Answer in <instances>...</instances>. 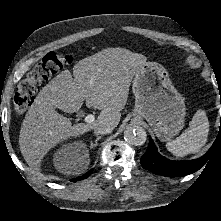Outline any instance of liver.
Wrapping results in <instances>:
<instances>
[{
    "label": "liver",
    "mask_w": 221,
    "mask_h": 221,
    "mask_svg": "<svg viewBox=\"0 0 221 221\" xmlns=\"http://www.w3.org/2000/svg\"><path fill=\"white\" fill-rule=\"evenodd\" d=\"M147 58L124 48H107L77 62L73 77L64 70L53 78L35 98L23 120L19 147L33 174L52 179L40 171L47 152L70 137L82 135L97 125L116 128L129 94L130 82ZM86 101L87 107L100 110L97 119L72 126L59 114L77 112Z\"/></svg>",
    "instance_id": "liver-1"
}]
</instances>
